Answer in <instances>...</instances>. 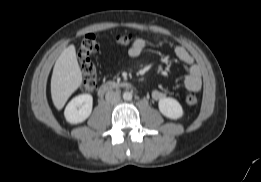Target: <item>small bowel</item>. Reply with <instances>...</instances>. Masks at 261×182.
Segmentation results:
<instances>
[{
    "label": "small bowel",
    "instance_id": "small-bowel-1",
    "mask_svg": "<svg viewBox=\"0 0 261 182\" xmlns=\"http://www.w3.org/2000/svg\"><path fill=\"white\" fill-rule=\"evenodd\" d=\"M165 41L166 39L164 37H160L155 39L153 43L163 44ZM148 44V41L143 38L136 39L129 48L128 53L130 57H139ZM174 54L180 62L188 67L187 74L183 82L184 89L188 92H199L202 88L201 70L199 66L194 62V59L190 53L182 46H176L174 48ZM152 97L154 100L159 101L166 97V93L161 90H154L152 92Z\"/></svg>",
    "mask_w": 261,
    "mask_h": 182
}]
</instances>
